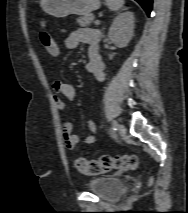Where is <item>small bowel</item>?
I'll return each mask as SVG.
<instances>
[{
    "label": "small bowel",
    "mask_w": 188,
    "mask_h": 213,
    "mask_svg": "<svg viewBox=\"0 0 188 213\" xmlns=\"http://www.w3.org/2000/svg\"><path fill=\"white\" fill-rule=\"evenodd\" d=\"M100 32L93 28H77L65 40V47L67 49H75L80 44L88 46V62L86 70L92 74L99 82L105 80L104 63L99 52ZM59 54V53H58ZM62 97L69 101L76 98L75 88L63 81H56L53 85L52 99L55 107L59 111L65 110V104ZM90 134L80 138L73 134L72 125L70 121L66 120L62 124L63 141L67 149L73 150L79 144L91 145L95 142L94 133L97 129L95 122L88 123Z\"/></svg>",
    "instance_id": "obj_1"
}]
</instances>
